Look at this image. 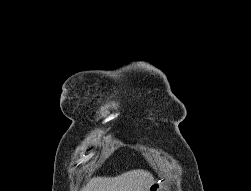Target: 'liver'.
Returning a JSON list of instances; mask_svg holds the SVG:
<instances>
[{
  "mask_svg": "<svg viewBox=\"0 0 251 191\" xmlns=\"http://www.w3.org/2000/svg\"><path fill=\"white\" fill-rule=\"evenodd\" d=\"M153 179L145 169H131L116 177H93L81 191H148Z\"/></svg>",
  "mask_w": 251,
  "mask_h": 191,
  "instance_id": "liver-1",
  "label": "liver"
}]
</instances>
